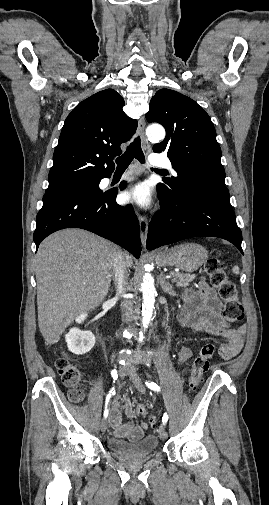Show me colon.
I'll use <instances>...</instances> for the list:
<instances>
[{
	"instance_id": "1",
	"label": "colon",
	"mask_w": 269,
	"mask_h": 505,
	"mask_svg": "<svg viewBox=\"0 0 269 505\" xmlns=\"http://www.w3.org/2000/svg\"><path fill=\"white\" fill-rule=\"evenodd\" d=\"M204 269L209 277L210 284L217 289L220 299L224 303L223 317L227 323H235L244 318V308L239 300L238 291L224 269L223 263L215 257L206 260ZM215 348L212 344L204 345L193 361L189 376V386L195 391L202 382L204 373L208 370L209 361L214 355ZM55 366L61 375L63 383L70 387L69 399L74 403H79L84 399V392L79 387L81 373L79 369L67 358L60 357L56 360ZM139 415L146 414L144 405L139 404L136 408ZM149 424L154 423L151 417Z\"/></svg>"
}]
</instances>
